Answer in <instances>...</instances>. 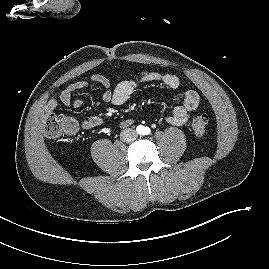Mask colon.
I'll use <instances>...</instances> for the list:
<instances>
[{
    "label": "colon",
    "instance_id": "5ec220e1",
    "mask_svg": "<svg viewBox=\"0 0 269 269\" xmlns=\"http://www.w3.org/2000/svg\"><path fill=\"white\" fill-rule=\"evenodd\" d=\"M208 116L199 114L194 116L191 127L194 134L201 137L205 134L208 126ZM73 130V124L68 117L58 116L54 113H48L44 118V133L49 138H58L62 135H68Z\"/></svg>",
    "mask_w": 269,
    "mask_h": 269
}]
</instances>
